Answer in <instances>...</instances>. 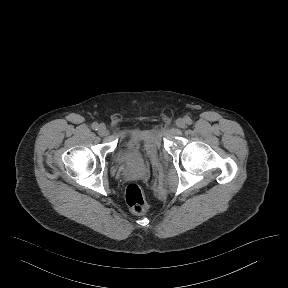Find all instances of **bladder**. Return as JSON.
<instances>
[{"label": "bladder", "instance_id": "1", "mask_svg": "<svg viewBox=\"0 0 288 288\" xmlns=\"http://www.w3.org/2000/svg\"><path fill=\"white\" fill-rule=\"evenodd\" d=\"M160 150V139L153 129H133L118 140L113 153L119 165L134 166L144 159L155 158Z\"/></svg>", "mask_w": 288, "mask_h": 288}]
</instances>
